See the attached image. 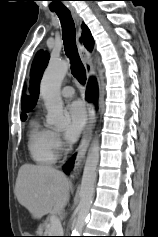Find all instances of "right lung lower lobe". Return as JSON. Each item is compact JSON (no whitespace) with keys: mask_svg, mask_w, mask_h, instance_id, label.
I'll use <instances>...</instances> for the list:
<instances>
[{"mask_svg":"<svg viewBox=\"0 0 158 237\" xmlns=\"http://www.w3.org/2000/svg\"><path fill=\"white\" fill-rule=\"evenodd\" d=\"M87 99H93L96 94H97V86L94 80H91L90 83L88 84L87 87ZM73 160L74 157L72 158V160L68 161L64 166H63V170L66 174H68L73 166Z\"/></svg>","mask_w":158,"mask_h":237,"instance_id":"right-lung-lower-lobe-1","label":"right lung lower lobe"}]
</instances>
